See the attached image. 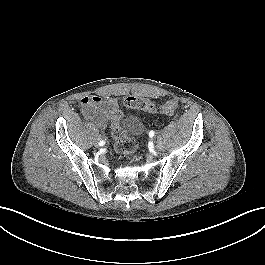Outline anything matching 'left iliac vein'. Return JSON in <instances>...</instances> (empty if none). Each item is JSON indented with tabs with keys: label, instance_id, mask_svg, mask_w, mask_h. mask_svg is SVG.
I'll return each mask as SVG.
<instances>
[{
	"label": "left iliac vein",
	"instance_id": "left-iliac-vein-1",
	"mask_svg": "<svg viewBox=\"0 0 265 265\" xmlns=\"http://www.w3.org/2000/svg\"><path fill=\"white\" fill-rule=\"evenodd\" d=\"M155 148L157 150H162L164 148V143L161 138H159L158 141L156 142Z\"/></svg>",
	"mask_w": 265,
	"mask_h": 265
}]
</instances>
